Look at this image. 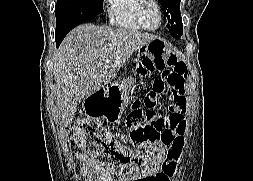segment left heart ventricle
I'll use <instances>...</instances> for the list:
<instances>
[{"mask_svg":"<svg viewBox=\"0 0 253 181\" xmlns=\"http://www.w3.org/2000/svg\"><path fill=\"white\" fill-rule=\"evenodd\" d=\"M142 17L144 23L150 27L155 28L159 23V14L154 4L145 3L142 9Z\"/></svg>","mask_w":253,"mask_h":181,"instance_id":"b2bd125f","label":"left heart ventricle"}]
</instances>
